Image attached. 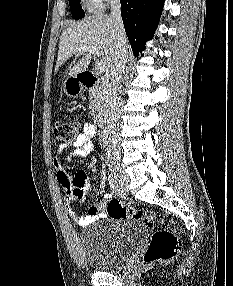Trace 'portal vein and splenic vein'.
Returning <instances> with one entry per match:
<instances>
[{"mask_svg": "<svg viewBox=\"0 0 233 286\" xmlns=\"http://www.w3.org/2000/svg\"><path fill=\"white\" fill-rule=\"evenodd\" d=\"M80 51L81 52L89 51L91 54H93L94 56H97V57H99L101 55L100 51L97 47L83 46L80 48ZM95 70L97 73H103L105 71V64L102 61H97L95 63Z\"/></svg>", "mask_w": 233, "mask_h": 286, "instance_id": "1", "label": "portal vein and splenic vein"}]
</instances>
